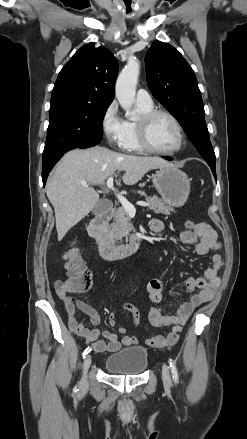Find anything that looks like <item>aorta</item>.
Wrapping results in <instances>:
<instances>
[{
    "label": "aorta",
    "instance_id": "762f6f07",
    "mask_svg": "<svg viewBox=\"0 0 247 439\" xmlns=\"http://www.w3.org/2000/svg\"><path fill=\"white\" fill-rule=\"evenodd\" d=\"M140 73V63L130 58L119 74L115 87L116 98L128 117L134 115L132 106L135 102L136 86Z\"/></svg>",
    "mask_w": 247,
    "mask_h": 439
}]
</instances>
